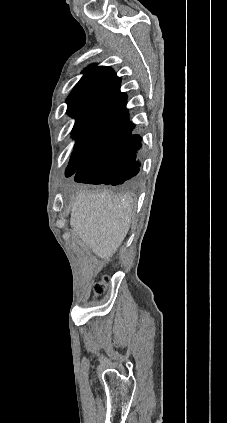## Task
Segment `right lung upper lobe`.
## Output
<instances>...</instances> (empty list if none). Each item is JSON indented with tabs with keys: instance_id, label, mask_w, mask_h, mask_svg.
<instances>
[{
	"instance_id": "cb5924a9",
	"label": "right lung upper lobe",
	"mask_w": 227,
	"mask_h": 423,
	"mask_svg": "<svg viewBox=\"0 0 227 423\" xmlns=\"http://www.w3.org/2000/svg\"><path fill=\"white\" fill-rule=\"evenodd\" d=\"M120 78L110 67L90 66L67 100V113L76 119L72 135L74 152L84 155L111 147L131 136L132 126L110 120L106 114L126 103L120 92Z\"/></svg>"
}]
</instances>
